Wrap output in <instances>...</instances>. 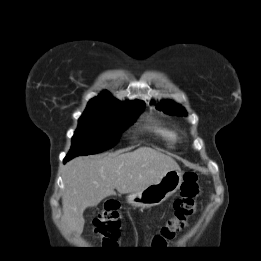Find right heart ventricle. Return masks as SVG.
<instances>
[{"instance_id": "e07e8e85", "label": "right heart ventricle", "mask_w": 261, "mask_h": 261, "mask_svg": "<svg viewBox=\"0 0 261 261\" xmlns=\"http://www.w3.org/2000/svg\"><path fill=\"white\" fill-rule=\"evenodd\" d=\"M157 132L160 133L166 140L174 141L176 136L172 131L166 129H157Z\"/></svg>"}]
</instances>
